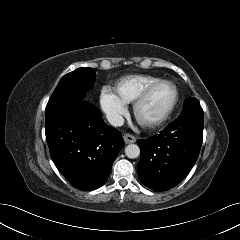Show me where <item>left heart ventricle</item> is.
Wrapping results in <instances>:
<instances>
[{
    "instance_id": "obj_1",
    "label": "left heart ventricle",
    "mask_w": 240,
    "mask_h": 240,
    "mask_svg": "<svg viewBox=\"0 0 240 240\" xmlns=\"http://www.w3.org/2000/svg\"><path fill=\"white\" fill-rule=\"evenodd\" d=\"M175 97L172 86L164 85L156 89L140 107V115L146 119H154L168 110Z\"/></svg>"
}]
</instances>
